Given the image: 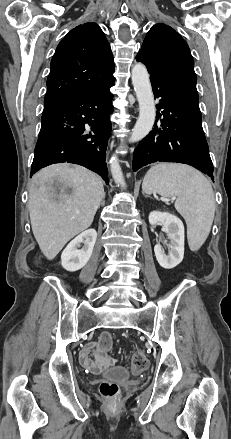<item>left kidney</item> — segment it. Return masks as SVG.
Returning a JSON list of instances; mask_svg holds the SVG:
<instances>
[{"label":"left kidney","mask_w":231,"mask_h":439,"mask_svg":"<svg viewBox=\"0 0 231 439\" xmlns=\"http://www.w3.org/2000/svg\"><path fill=\"white\" fill-rule=\"evenodd\" d=\"M151 225L161 224L170 240L166 254L160 244H156L154 252L159 265L172 269L182 262L184 257V225L175 215L167 212L153 211L149 214Z\"/></svg>","instance_id":"5707ae66"}]
</instances>
